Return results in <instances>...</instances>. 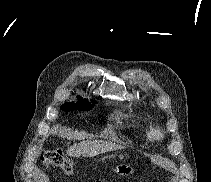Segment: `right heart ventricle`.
Instances as JSON below:
<instances>
[{
  "instance_id": "obj_1",
  "label": "right heart ventricle",
  "mask_w": 211,
  "mask_h": 182,
  "mask_svg": "<svg viewBox=\"0 0 211 182\" xmlns=\"http://www.w3.org/2000/svg\"><path fill=\"white\" fill-rule=\"evenodd\" d=\"M148 129L146 127H140L137 132H138V136L142 139H147L148 137Z\"/></svg>"
}]
</instances>
